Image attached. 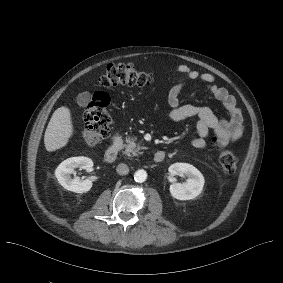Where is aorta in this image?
I'll use <instances>...</instances> for the list:
<instances>
[{
  "label": "aorta",
  "instance_id": "obj_1",
  "mask_svg": "<svg viewBox=\"0 0 283 283\" xmlns=\"http://www.w3.org/2000/svg\"><path fill=\"white\" fill-rule=\"evenodd\" d=\"M146 178H147V173L143 169L137 170L134 174V179L138 183H143L146 180Z\"/></svg>",
  "mask_w": 283,
  "mask_h": 283
}]
</instances>
